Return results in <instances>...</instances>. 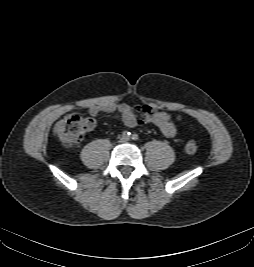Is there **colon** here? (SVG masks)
Wrapping results in <instances>:
<instances>
[{
    "instance_id": "1",
    "label": "colon",
    "mask_w": 254,
    "mask_h": 267,
    "mask_svg": "<svg viewBox=\"0 0 254 267\" xmlns=\"http://www.w3.org/2000/svg\"><path fill=\"white\" fill-rule=\"evenodd\" d=\"M94 126V119L71 114L57 122L54 127V134L64 146L74 147L86 138ZM197 150L198 145L194 140H189L186 143L185 151L188 154H195Z\"/></svg>"
}]
</instances>
